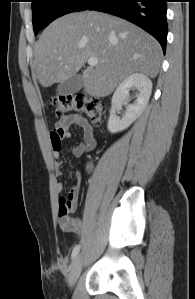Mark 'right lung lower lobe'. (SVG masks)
Masks as SVG:
<instances>
[{
    "label": "right lung lower lobe",
    "instance_id": "1",
    "mask_svg": "<svg viewBox=\"0 0 195 299\" xmlns=\"http://www.w3.org/2000/svg\"><path fill=\"white\" fill-rule=\"evenodd\" d=\"M167 0H92L85 10H96L126 19L155 37L163 51L167 41Z\"/></svg>",
    "mask_w": 195,
    "mask_h": 299
}]
</instances>
